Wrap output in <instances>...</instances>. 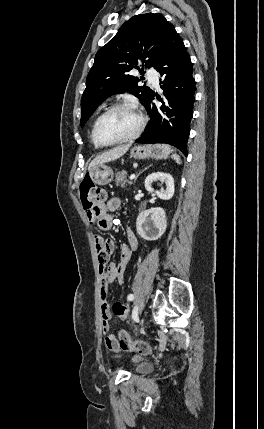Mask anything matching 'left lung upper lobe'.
I'll use <instances>...</instances> for the list:
<instances>
[{
  "instance_id": "5c2ea615",
  "label": "left lung upper lobe",
  "mask_w": 264,
  "mask_h": 429,
  "mask_svg": "<svg viewBox=\"0 0 264 429\" xmlns=\"http://www.w3.org/2000/svg\"><path fill=\"white\" fill-rule=\"evenodd\" d=\"M174 29L161 14L136 15L96 54L81 99V126L110 95L128 91L145 106L153 91L138 86L143 77L128 75L132 68L144 73V64L155 67L169 32ZM142 63V69L139 65Z\"/></svg>"
}]
</instances>
